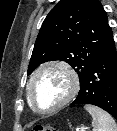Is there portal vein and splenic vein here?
<instances>
[{"label": "portal vein and splenic vein", "mask_w": 117, "mask_h": 131, "mask_svg": "<svg viewBox=\"0 0 117 131\" xmlns=\"http://www.w3.org/2000/svg\"><path fill=\"white\" fill-rule=\"evenodd\" d=\"M88 128H85V127H81V131H85L87 130Z\"/></svg>", "instance_id": "1"}]
</instances>
